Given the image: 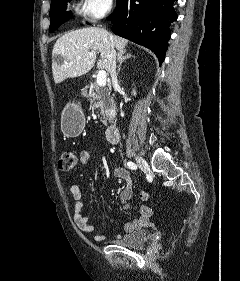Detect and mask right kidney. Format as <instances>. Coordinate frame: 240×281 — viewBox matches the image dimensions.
Returning a JSON list of instances; mask_svg holds the SVG:
<instances>
[{
  "label": "right kidney",
  "instance_id": "obj_1",
  "mask_svg": "<svg viewBox=\"0 0 240 281\" xmlns=\"http://www.w3.org/2000/svg\"><path fill=\"white\" fill-rule=\"evenodd\" d=\"M133 94H134V95H136V92H135V91H133Z\"/></svg>",
  "mask_w": 240,
  "mask_h": 281
}]
</instances>
